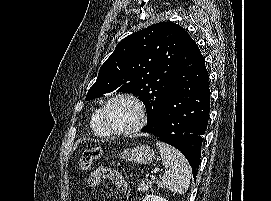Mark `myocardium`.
I'll return each instance as SVG.
<instances>
[{
	"label": "myocardium",
	"mask_w": 271,
	"mask_h": 201,
	"mask_svg": "<svg viewBox=\"0 0 271 201\" xmlns=\"http://www.w3.org/2000/svg\"><path fill=\"white\" fill-rule=\"evenodd\" d=\"M117 99H128L135 104L139 112L138 122L131 128L126 130L115 129L109 122L107 117V108L113 101ZM101 120L104 127L111 134L118 136H131L140 132L147 124V110L143 101L135 94L129 92H119L109 97L101 107Z\"/></svg>",
	"instance_id": "1"
}]
</instances>
